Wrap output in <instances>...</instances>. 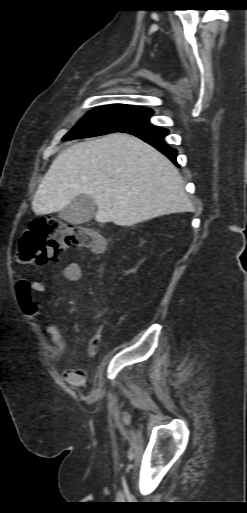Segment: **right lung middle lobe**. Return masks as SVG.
I'll return each mask as SVG.
<instances>
[{
    "instance_id": "right-lung-middle-lobe-1",
    "label": "right lung middle lobe",
    "mask_w": 247,
    "mask_h": 513,
    "mask_svg": "<svg viewBox=\"0 0 247 513\" xmlns=\"http://www.w3.org/2000/svg\"><path fill=\"white\" fill-rule=\"evenodd\" d=\"M153 111L145 107L114 104L93 109L62 140L94 137L143 122H148Z\"/></svg>"
}]
</instances>
